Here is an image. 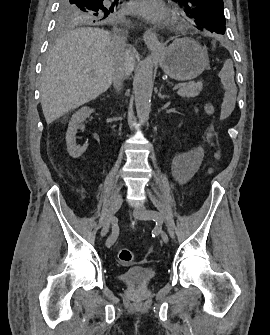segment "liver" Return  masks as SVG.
Listing matches in <instances>:
<instances>
[{"instance_id":"liver-1","label":"liver","mask_w":270,"mask_h":335,"mask_svg":"<svg viewBox=\"0 0 270 335\" xmlns=\"http://www.w3.org/2000/svg\"><path fill=\"white\" fill-rule=\"evenodd\" d=\"M134 52L100 28H77L49 50L42 72L41 106L47 124L95 100L111 86L115 70H134Z\"/></svg>"}]
</instances>
